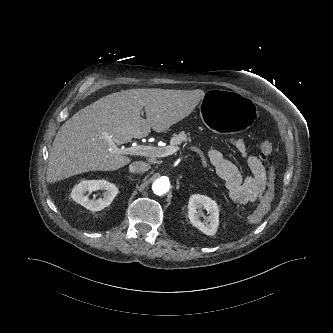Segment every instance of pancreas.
<instances>
[{
  "label": "pancreas",
  "mask_w": 333,
  "mask_h": 333,
  "mask_svg": "<svg viewBox=\"0 0 333 333\" xmlns=\"http://www.w3.org/2000/svg\"><path fill=\"white\" fill-rule=\"evenodd\" d=\"M189 135H190L189 133H185L184 131H181L178 134H174L170 140V145L176 146V145H180L183 142H187V141L191 142L192 138Z\"/></svg>",
  "instance_id": "cf45deb5"
}]
</instances>
